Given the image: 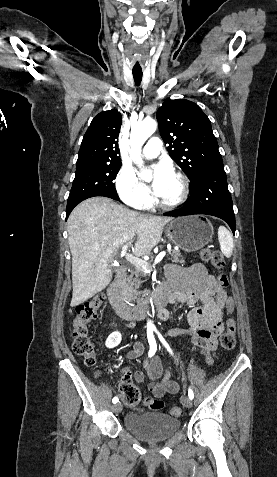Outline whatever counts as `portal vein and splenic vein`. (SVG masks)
Wrapping results in <instances>:
<instances>
[{
  "label": "portal vein and splenic vein",
  "mask_w": 277,
  "mask_h": 477,
  "mask_svg": "<svg viewBox=\"0 0 277 477\" xmlns=\"http://www.w3.org/2000/svg\"><path fill=\"white\" fill-rule=\"evenodd\" d=\"M128 250V244H125L123 247H122V256H124L126 258V260L128 262H130L131 264H133L135 267L137 268H140L142 269L143 271L145 272H150L152 267H154L157 263H159L165 256H166V252L165 251H161L155 258V261H154V264L151 265L150 263H148L147 261L143 260V259H140L136 256H133L132 254L128 253L127 252Z\"/></svg>",
  "instance_id": "obj_1"
}]
</instances>
